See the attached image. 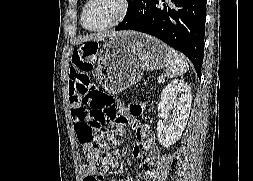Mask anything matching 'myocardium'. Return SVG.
I'll return each instance as SVG.
<instances>
[{
    "instance_id": "1",
    "label": "myocardium",
    "mask_w": 253,
    "mask_h": 181,
    "mask_svg": "<svg viewBox=\"0 0 253 181\" xmlns=\"http://www.w3.org/2000/svg\"><path fill=\"white\" fill-rule=\"evenodd\" d=\"M92 1L93 0H86L84 6L82 8V12H81V24L86 30H88L90 32H101V31H105V30H108L110 28H113V27L119 25L128 16V14L130 13V10H131V0H120V4H121L120 11L113 18V20L100 28L94 29V28L88 27L85 24L86 10Z\"/></svg>"
}]
</instances>
